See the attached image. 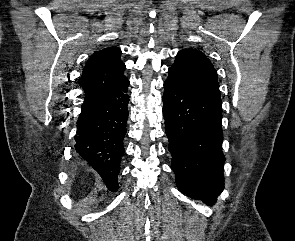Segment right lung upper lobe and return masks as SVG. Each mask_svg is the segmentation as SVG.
<instances>
[{"mask_svg": "<svg viewBox=\"0 0 295 241\" xmlns=\"http://www.w3.org/2000/svg\"><path fill=\"white\" fill-rule=\"evenodd\" d=\"M120 54L119 48L108 47L95 52L89 58L81 81L85 95L119 86L127 80L123 75L126 67Z\"/></svg>", "mask_w": 295, "mask_h": 241, "instance_id": "right-lung-upper-lobe-1", "label": "right lung upper lobe"}]
</instances>
